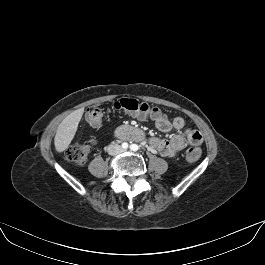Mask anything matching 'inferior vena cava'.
Returning <instances> with one entry per match:
<instances>
[{
	"label": "inferior vena cava",
	"instance_id": "1",
	"mask_svg": "<svg viewBox=\"0 0 265 265\" xmlns=\"http://www.w3.org/2000/svg\"><path fill=\"white\" fill-rule=\"evenodd\" d=\"M123 151H124L123 148L118 144H110L107 147L108 154L112 155V156L119 155V154L123 153Z\"/></svg>",
	"mask_w": 265,
	"mask_h": 265
}]
</instances>
